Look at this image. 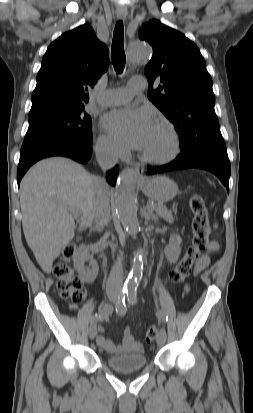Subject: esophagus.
<instances>
[{
    "label": "esophagus",
    "instance_id": "1",
    "mask_svg": "<svg viewBox=\"0 0 253 413\" xmlns=\"http://www.w3.org/2000/svg\"><path fill=\"white\" fill-rule=\"evenodd\" d=\"M117 18L119 20H124L126 18V13L125 12H118L117 13ZM144 172V167L142 165H136L135 167V173L138 178H142Z\"/></svg>",
    "mask_w": 253,
    "mask_h": 413
}]
</instances>
